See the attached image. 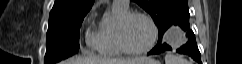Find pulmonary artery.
Here are the masks:
<instances>
[{
	"mask_svg": "<svg viewBox=\"0 0 242 64\" xmlns=\"http://www.w3.org/2000/svg\"><path fill=\"white\" fill-rule=\"evenodd\" d=\"M113 4H116V5L124 7V8H128L129 2H128V0H115L113 2Z\"/></svg>",
	"mask_w": 242,
	"mask_h": 64,
	"instance_id": "pulmonary-artery-1",
	"label": "pulmonary artery"
}]
</instances>
